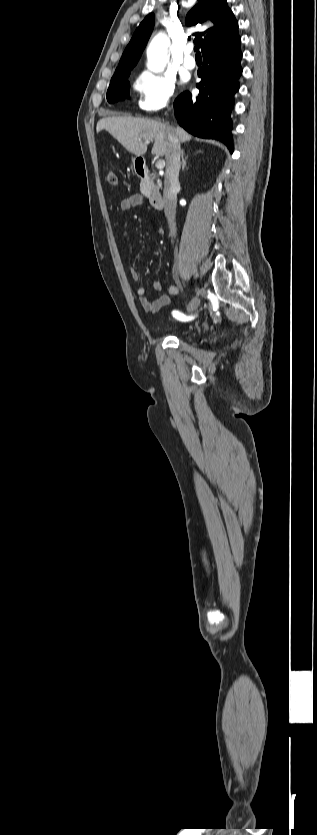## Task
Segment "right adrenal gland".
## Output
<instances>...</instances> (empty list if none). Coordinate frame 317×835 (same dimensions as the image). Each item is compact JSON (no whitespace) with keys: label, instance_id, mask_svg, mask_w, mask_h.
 Listing matches in <instances>:
<instances>
[{"label":"right adrenal gland","instance_id":"right-adrenal-gland-1","mask_svg":"<svg viewBox=\"0 0 317 835\" xmlns=\"http://www.w3.org/2000/svg\"><path fill=\"white\" fill-rule=\"evenodd\" d=\"M181 157H182V170L184 171V169L186 167V159L187 158L184 157V152L183 151H181Z\"/></svg>","mask_w":317,"mask_h":835}]
</instances>
